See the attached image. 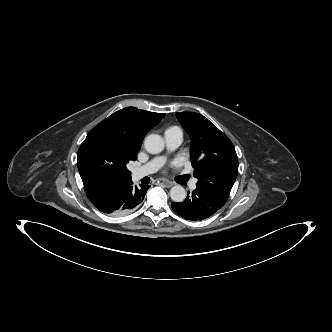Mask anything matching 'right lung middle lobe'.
<instances>
[{"mask_svg":"<svg viewBox=\"0 0 332 332\" xmlns=\"http://www.w3.org/2000/svg\"><path fill=\"white\" fill-rule=\"evenodd\" d=\"M141 143L136 130L121 115H111L94 127L77 153L83 184L119 183L131 179L127 169L137 159Z\"/></svg>","mask_w":332,"mask_h":332,"instance_id":"right-lung-middle-lobe-1","label":"right lung middle lobe"}]
</instances>
